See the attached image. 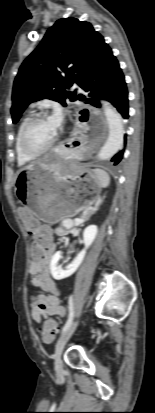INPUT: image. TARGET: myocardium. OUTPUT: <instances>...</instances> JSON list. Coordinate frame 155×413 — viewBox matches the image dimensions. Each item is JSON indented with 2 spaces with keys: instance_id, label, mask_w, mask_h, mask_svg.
<instances>
[{
  "instance_id": "1",
  "label": "myocardium",
  "mask_w": 155,
  "mask_h": 413,
  "mask_svg": "<svg viewBox=\"0 0 155 413\" xmlns=\"http://www.w3.org/2000/svg\"><path fill=\"white\" fill-rule=\"evenodd\" d=\"M47 120V116L44 114H37L33 117H31L23 126L21 135H20V144H21V149L22 151L29 157H39L46 152L50 151L56 144L57 141V135L55 138L45 147L40 148V149H35L30 146L28 142V136L31 128L38 122Z\"/></svg>"
}]
</instances>
